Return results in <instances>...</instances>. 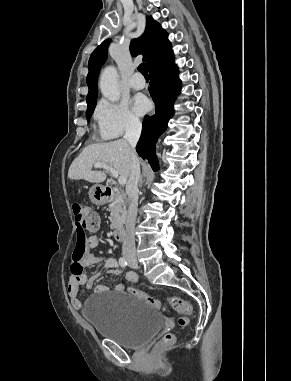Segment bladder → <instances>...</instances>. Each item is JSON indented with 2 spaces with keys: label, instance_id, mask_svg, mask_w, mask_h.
<instances>
[{
  "label": "bladder",
  "instance_id": "31cf9c89",
  "mask_svg": "<svg viewBox=\"0 0 291 381\" xmlns=\"http://www.w3.org/2000/svg\"><path fill=\"white\" fill-rule=\"evenodd\" d=\"M82 315L99 336L126 348L142 346L164 326L163 316L154 307L123 291L92 295L86 301Z\"/></svg>",
  "mask_w": 291,
  "mask_h": 381
}]
</instances>
